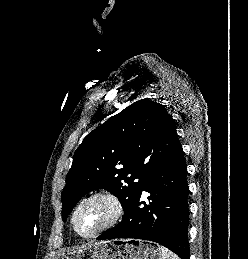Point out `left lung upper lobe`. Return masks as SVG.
Segmentation results:
<instances>
[{
    "mask_svg": "<svg viewBox=\"0 0 248 259\" xmlns=\"http://www.w3.org/2000/svg\"><path fill=\"white\" fill-rule=\"evenodd\" d=\"M180 146L163 105L149 99L131 104L91 131L75 151L61 196L63 221L83 195L97 188L115 195L125 213L147 179Z\"/></svg>",
    "mask_w": 248,
    "mask_h": 259,
    "instance_id": "obj_1",
    "label": "left lung upper lobe"
}]
</instances>
